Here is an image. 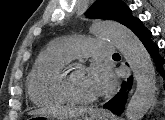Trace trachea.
Listing matches in <instances>:
<instances>
[{
  "mask_svg": "<svg viewBox=\"0 0 165 120\" xmlns=\"http://www.w3.org/2000/svg\"><path fill=\"white\" fill-rule=\"evenodd\" d=\"M117 55H119V54H118V53H115V54H114V56H117Z\"/></svg>",
  "mask_w": 165,
  "mask_h": 120,
  "instance_id": "1",
  "label": "trachea"
}]
</instances>
